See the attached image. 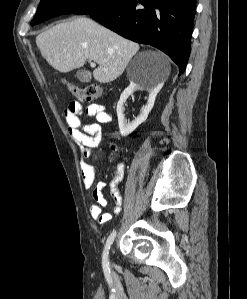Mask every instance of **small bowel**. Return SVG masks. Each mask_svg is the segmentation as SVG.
Here are the masks:
<instances>
[{
  "mask_svg": "<svg viewBox=\"0 0 247 299\" xmlns=\"http://www.w3.org/2000/svg\"><path fill=\"white\" fill-rule=\"evenodd\" d=\"M85 113L88 117L95 118L96 122L83 124L81 115ZM67 129L72 140L79 146L82 155L81 174L82 182L86 189L93 188L92 197L94 204L90 207V215L100 224L108 223L112 215L104 212L107 206V200L103 195V189L106 184L98 182L95 184L96 168L89 161L92 152L96 150L102 139L103 131L102 124H107L111 121V115L107 112L102 104L92 103L85 109L80 102L73 101L68 104L64 111ZM121 173L109 184L110 193L114 200V213L119 214L122 211V197L118 189V183Z\"/></svg>",
  "mask_w": 247,
  "mask_h": 299,
  "instance_id": "1",
  "label": "small bowel"
}]
</instances>
